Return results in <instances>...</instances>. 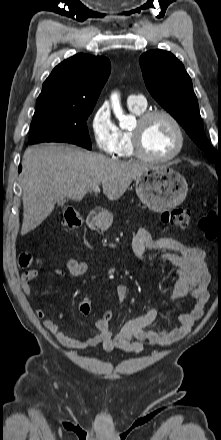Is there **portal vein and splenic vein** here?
<instances>
[{"label":"portal vein and splenic vein","mask_w":221,"mask_h":440,"mask_svg":"<svg viewBox=\"0 0 221 440\" xmlns=\"http://www.w3.org/2000/svg\"><path fill=\"white\" fill-rule=\"evenodd\" d=\"M92 190H93L95 193H97V192L100 191V188H99L98 186H96V187H94Z\"/></svg>","instance_id":"obj_1"}]
</instances>
